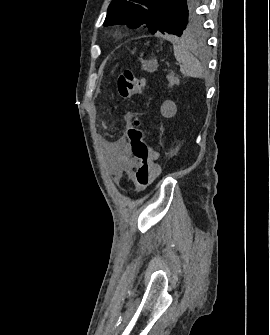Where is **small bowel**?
<instances>
[{
  "instance_id": "1",
  "label": "small bowel",
  "mask_w": 270,
  "mask_h": 335,
  "mask_svg": "<svg viewBox=\"0 0 270 335\" xmlns=\"http://www.w3.org/2000/svg\"><path fill=\"white\" fill-rule=\"evenodd\" d=\"M104 148L111 162L114 179L119 182L124 175L130 177L134 160L129 155L128 145L123 138L114 141L103 140Z\"/></svg>"
}]
</instances>
